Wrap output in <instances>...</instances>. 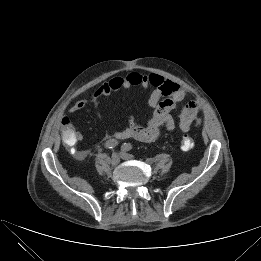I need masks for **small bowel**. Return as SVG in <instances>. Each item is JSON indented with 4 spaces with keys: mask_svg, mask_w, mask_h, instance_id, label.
<instances>
[{
    "mask_svg": "<svg viewBox=\"0 0 261 261\" xmlns=\"http://www.w3.org/2000/svg\"><path fill=\"white\" fill-rule=\"evenodd\" d=\"M132 87L153 88L148 99V105L154 109L152 117L144 125L131 122L126 128L113 132L111 138L115 140L132 138L141 142H153L158 139L161 127L164 126L168 131H173L177 123L171 111L184 101L187 92L177 83L164 79L156 73L143 74L132 71L124 76H114L101 84L91 94L89 100L95 101L121 89ZM86 103L87 101L84 99L77 100L70 112L74 113L83 109ZM199 109V104L196 101L182 104L178 126L183 132H188L192 124L197 121ZM80 140H82V134L76 131L72 142L68 143L63 138V141L69 146L75 145ZM86 154L87 151L78 152L80 156Z\"/></svg>",
    "mask_w": 261,
    "mask_h": 261,
    "instance_id": "obj_1",
    "label": "small bowel"
}]
</instances>
